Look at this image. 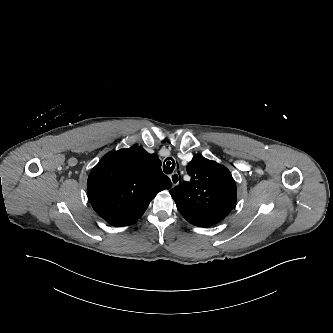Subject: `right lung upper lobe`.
I'll return each mask as SVG.
<instances>
[{"mask_svg":"<svg viewBox=\"0 0 333 333\" xmlns=\"http://www.w3.org/2000/svg\"><path fill=\"white\" fill-rule=\"evenodd\" d=\"M172 183L157 155L140 146L109 152L91 170L87 193L96 213L114 226L132 225Z\"/></svg>","mask_w":333,"mask_h":333,"instance_id":"cb5924a9","label":"right lung upper lobe"}]
</instances>
